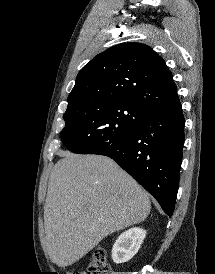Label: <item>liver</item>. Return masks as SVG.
<instances>
[{
	"mask_svg": "<svg viewBox=\"0 0 215 274\" xmlns=\"http://www.w3.org/2000/svg\"><path fill=\"white\" fill-rule=\"evenodd\" d=\"M48 183L44 206L46 250L66 267L108 235L144 221L147 192L112 159L61 152Z\"/></svg>",
	"mask_w": 215,
	"mask_h": 274,
	"instance_id": "liver-1",
	"label": "liver"
}]
</instances>
